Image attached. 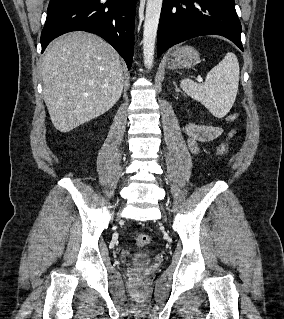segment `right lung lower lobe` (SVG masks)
<instances>
[{"instance_id": "98d812e1", "label": "right lung lower lobe", "mask_w": 284, "mask_h": 319, "mask_svg": "<svg viewBox=\"0 0 284 319\" xmlns=\"http://www.w3.org/2000/svg\"><path fill=\"white\" fill-rule=\"evenodd\" d=\"M136 0H50L41 33L42 52L56 37L76 30L101 36L131 68Z\"/></svg>"}]
</instances>
